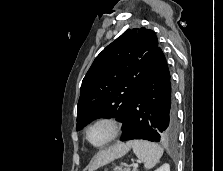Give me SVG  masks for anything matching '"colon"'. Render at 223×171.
Returning a JSON list of instances; mask_svg holds the SVG:
<instances>
[{
	"mask_svg": "<svg viewBox=\"0 0 223 171\" xmlns=\"http://www.w3.org/2000/svg\"><path fill=\"white\" fill-rule=\"evenodd\" d=\"M114 171H129V170L124 167H117L114 169Z\"/></svg>",
	"mask_w": 223,
	"mask_h": 171,
	"instance_id": "obj_1",
	"label": "colon"
}]
</instances>
